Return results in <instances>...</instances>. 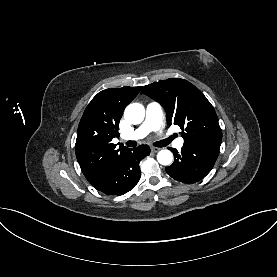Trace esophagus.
Masks as SVG:
<instances>
[{"instance_id": "esophagus-1", "label": "esophagus", "mask_w": 277, "mask_h": 277, "mask_svg": "<svg viewBox=\"0 0 277 277\" xmlns=\"http://www.w3.org/2000/svg\"><path fill=\"white\" fill-rule=\"evenodd\" d=\"M160 150L158 147H151V151L157 153Z\"/></svg>"}]
</instances>
